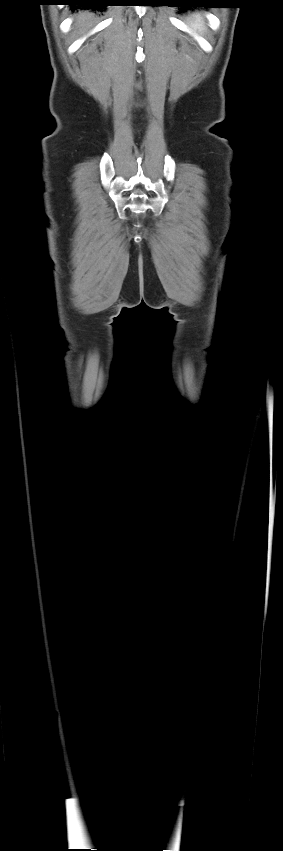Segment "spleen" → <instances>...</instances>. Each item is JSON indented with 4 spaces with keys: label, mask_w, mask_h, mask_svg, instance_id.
Returning a JSON list of instances; mask_svg holds the SVG:
<instances>
[{
    "label": "spleen",
    "mask_w": 283,
    "mask_h": 851,
    "mask_svg": "<svg viewBox=\"0 0 283 851\" xmlns=\"http://www.w3.org/2000/svg\"><path fill=\"white\" fill-rule=\"evenodd\" d=\"M189 26H190V27H191L194 31H200V32H203V31H204V29H205V25H204L203 17H202L199 13H195V14H193V15L190 17V19H189Z\"/></svg>",
    "instance_id": "obj_1"
}]
</instances>
